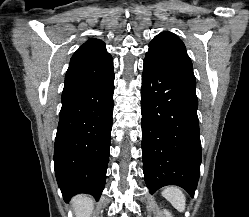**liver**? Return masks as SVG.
I'll use <instances>...</instances> for the list:
<instances>
[{
	"instance_id": "6515ba94",
	"label": "liver",
	"mask_w": 249,
	"mask_h": 217,
	"mask_svg": "<svg viewBox=\"0 0 249 217\" xmlns=\"http://www.w3.org/2000/svg\"><path fill=\"white\" fill-rule=\"evenodd\" d=\"M93 206V199L86 195H78L72 199V207L76 217H90Z\"/></svg>"
}]
</instances>
